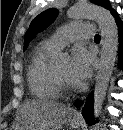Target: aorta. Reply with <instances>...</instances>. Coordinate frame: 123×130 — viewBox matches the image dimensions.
<instances>
[{
	"label": "aorta",
	"instance_id": "obj_1",
	"mask_svg": "<svg viewBox=\"0 0 123 130\" xmlns=\"http://www.w3.org/2000/svg\"><path fill=\"white\" fill-rule=\"evenodd\" d=\"M73 19H93L101 31L102 53L100 67L94 88V117L101 114L109 82L113 73L118 50V29L114 17L106 9L88 4L78 3L67 11Z\"/></svg>",
	"mask_w": 123,
	"mask_h": 130
}]
</instances>
